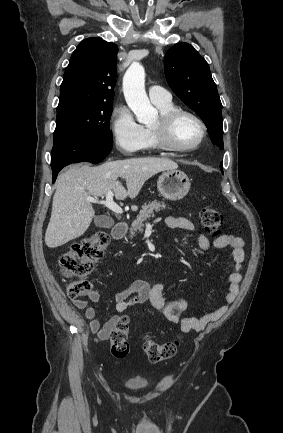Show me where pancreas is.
<instances>
[{"label":"pancreas","instance_id":"cf45deb5","mask_svg":"<svg viewBox=\"0 0 283 433\" xmlns=\"http://www.w3.org/2000/svg\"><path fill=\"white\" fill-rule=\"evenodd\" d=\"M165 202H159V200H151L149 204H143L136 221H133L132 227L130 229V237H134L136 235V231L139 233H143V223L150 219V217H155V212L161 210V208H165Z\"/></svg>","mask_w":283,"mask_h":433}]
</instances>
